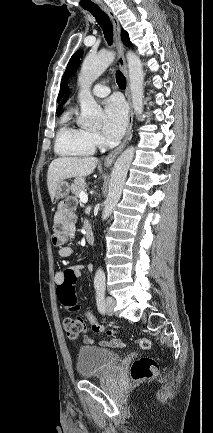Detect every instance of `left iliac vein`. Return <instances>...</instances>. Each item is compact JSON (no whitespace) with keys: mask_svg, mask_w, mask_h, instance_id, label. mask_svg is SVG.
I'll return each mask as SVG.
<instances>
[{"mask_svg":"<svg viewBox=\"0 0 213 433\" xmlns=\"http://www.w3.org/2000/svg\"><path fill=\"white\" fill-rule=\"evenodd\" d=\"M115 300L112 297H107L105 300V310L108 315L114 314Z\"/></svg>","mask_w":213,"mask_h":433,"instance_id":"obj_1","label":"left iliac vein"}]
</instances>
